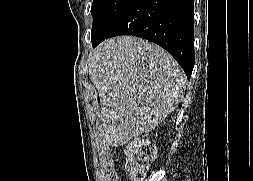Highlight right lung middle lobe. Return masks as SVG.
Here are the masks:
<instances>
[{"instance_id": "right-lung-middle-lobe-1", "label": "right lung middle lobe", "mask_w": 253, "mask_h": 181, "mask_svg": "<svg viewBox=\"0 0 253 181\" xmlns=\"http://www.w3.org/2000/svg\"><path fill=\"white\" fill-rule=\"evenodd\" d=\"M131 0H93L91 36L99 35L130 3Z\"/></svg>"}]
</instances>
